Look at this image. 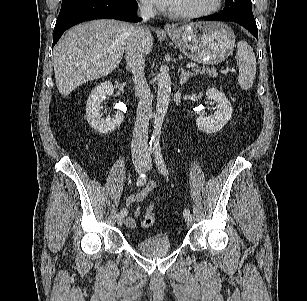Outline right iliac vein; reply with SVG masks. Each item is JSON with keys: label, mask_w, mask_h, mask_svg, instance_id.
Masks as SVG:
<instances>
[{"label": "right iliac vein", "mask_w": 307, "mask_h": 301, "mask_svg": "<svg viewBox=\"0 0 307 301\" xmlns=\"http://www.w3.org/2000/svg\"><path fill=\"white\" fill-rule=\"evenodd\" d=\"M134 166H135V169L137 172H142V170L144 169L145 167V163H144V159L142 156H136L134 158ZM116 221H117V224L119 226H122L123 223L125 222V215H123L122 213H118L117 216H116Z\"/></svg>", "instance_id": "obj_1"}]
</instances>
